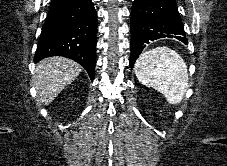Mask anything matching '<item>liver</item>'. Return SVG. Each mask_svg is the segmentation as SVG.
I'll use <instances>...</instances> for the list:
<instances>
[{
	"instance_id": "obj_1",
	"label": "liver",
	"mask_w": 227,
	"mask_h": 166,
	"mask_svg": "<svg viewBox=\"0 0 227 166\" xmlns=\"http://www.w3.org/2000/svg\"><path fill=\"white\" fill-rule=\"evenodd\" d=\"M80 72L81 66L65 57L55 56L40 61L34 78L39 101L49 105Z\"/></svg>"
}]
</instances>
